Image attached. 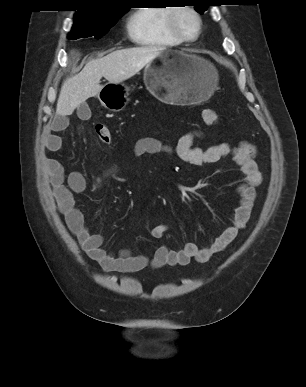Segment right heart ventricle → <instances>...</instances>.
<instances>
[{"label":"right heart ventricle","mask_w":306,"mask_h":387,"mask_svg":"<svg viewBox=\"0 0 306 387\" xmlns=\"http://www.w3.org/2000/svg\"><path fill=\"white\" fill-rule=\"evenodd\" d=\"M171 6H149L130 14L126 30L130 40L139 46L149 48H170L182 44L168 28Z\"/></svg>","instance_id":"right-heart-ventricle-1"}]
</instances>
